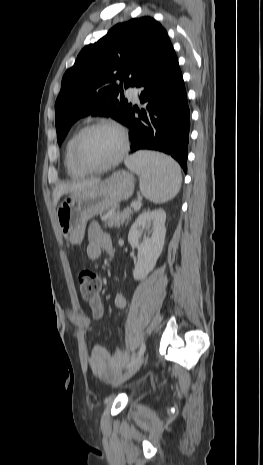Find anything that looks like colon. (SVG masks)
I'll list each match as a JSON object with an SVG mask.
<instances>
[{
    "label": "colon",
    "instance_id": "colon-1",
    "mask_svg": "<svg viewBox=\"0 0 263 465\" xmlns=\"http://www.w3.org/2000/svg\"><path fill=\"white\" fill-rule=\"evenodd\" d=\"M78 287L85 300L97 297L102 287L101 277L92 270H82L78 275Z\"/></svg>",
    "mask_w": 263,
    "mask_h": 465
}]
</instances>
